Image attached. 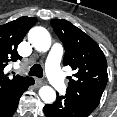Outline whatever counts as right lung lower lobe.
<instances>
[{"mask_svg": "<svg viewBox=\"0 0 117 117\" xmlns=\"http://www.w3.org/2000/svg\"><path fill=\"white\" fill-rule=\"evenodd\" d=\"M32 84H34L33 78H31L28 81V83L22 88V90L13 99H11L3 108L0 109V117H11L15 113L21 95Z\"/></svg>", "mask_w": 117, "mask_h": 117, "instance_id": "obj_1", "label": "right lung lower lobe"}]
</instances>
